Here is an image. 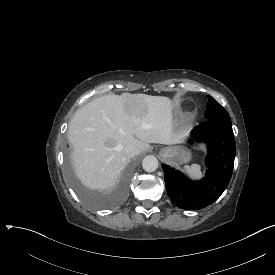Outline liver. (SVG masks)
Listing matches in <instances>:
<instances>
[{"mask_svg":"<svg viewBox=\"0 0 275 275\" xmlns=\"http://www.w3.org/2000/svg\"><path fill=\"white\" fill-rule=\"evenodd\" d=\"M172 101L168 97L122 93L92 100L73 116L67 138L81 183L110 192L128 163L127 145L139 153L150 143L175 144L184 133L172 132Z\"/></svg>","mask_w":275,"mask_h":275,"instance_id":"6515ba94","label":"liver"}]
</instances>
